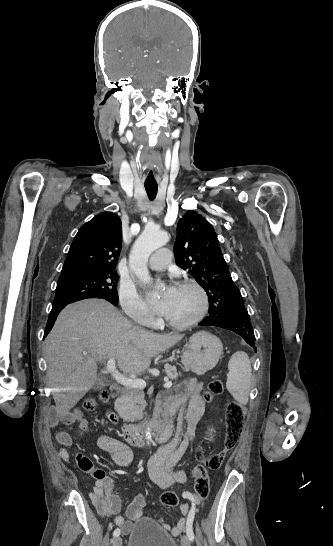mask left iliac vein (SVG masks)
Returning a JSON list of instances; mask_svg holds the SVG:
<instances>
[{
  "instance_id": "4c4485c4",
  "label": "left iliac vein",
  "mask_w": 333,
  "mask_h": 546,
  "mask_svg": "<svg viewBox=\"0 0 333 546\" xmlns=\"http://www.w3.org/2000/svg\"><path fill=\"white\" fill-rule=\"evenodd\" d=\"M182 546H191V540L188 536L184 535L181 539Z\"/></svg>"
}]
</instances>
